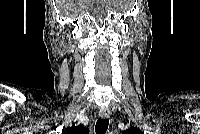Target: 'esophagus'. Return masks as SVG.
<instances>
[{
  "label": "esophagus",
  "mask_w": 200,
  "mask_h": 134,
  "mask_svg": "<svg viewBox=\"0 0 200 134\" xmlns=\"http://www.w3.org/2000/svg\"><path fill=\"white\" fill-rule=\"evenodd\" d=\"M101 118L106 119L110 116V111L107 107H102L99 111Z\"/></svg>",
  "instance_id": "1"
}]
</instances>
